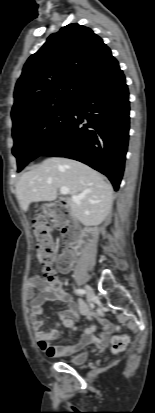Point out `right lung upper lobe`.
Listing matches in <instances>:
<instances>
[{"instance_id":"right-lung-upper-lobe-1","label":"right lung upper lobe","mask_w":155,"mask_h":413,"mask_svg":"<svg viewBox=\"0 0 155 413\" xmlns=\"http://www.w3.org/2000/svg\"><path fill=\"white\" fill-rule=\"evenodd\" d=\"M118 67L109 47L90 28L77 23L61 28L24 65L15 86L13 127L76 102Z\"/></svg>"}]
</instances>
